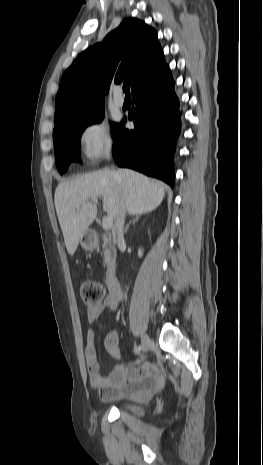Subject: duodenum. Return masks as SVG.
Masks as SVG:
<instances>
[{
  "label": "duodenum",
  "mask_w": 263,
  "mask_h": 465,
  "mask_svg": "<svg viewBox=\"0 0 263 465\" xmlns=\"http://www.w3.org/2000/svg\"><path fill=\"white\" fill-rule=\"evenodd\" d=\"M107 284L112 295L115 297H121L122 290L119 279L115 275L112 269L109 270L107 275Z\"/></svg>",
  "instance_id": "410a0bca"
}]
</instances>
